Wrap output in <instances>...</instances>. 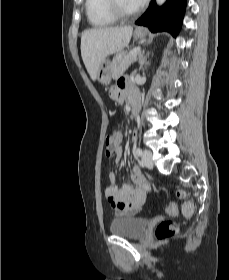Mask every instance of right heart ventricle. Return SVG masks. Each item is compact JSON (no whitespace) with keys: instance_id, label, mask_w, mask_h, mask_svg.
Returning a JSON list of instances; mask_svg holds the SVG:
<instances>
[{"instance_id":"1","label":"right heart ventricle","mask_w":229,"mask_h":280,"mask_svg":"<svg viewBox=\"0 0 229 280\" xmlns=\"http://www.w3.org/2000/svg\"><path fill=\"white\" fill-rule=\"evenodd\" d=\"M85 14L88 23L94 28H108L116 23L107 10V0H85Z\"/></svg>"}]
</instances>
